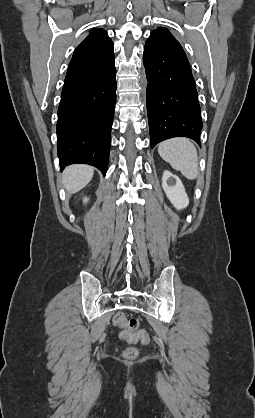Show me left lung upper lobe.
Wrapping results in <instances>:
<instances>
[{
	"instance_id": "1",
	"label": "left lung upper lobe",
	"mask_w": 255,
	"mask_h": 418,
	"mask_svg": "<svg viewBox=\"0 0 255 418\" xmlns=\"http://www.w3.org/2000/svg\"><path fill=\"white\" fill-rule=\"evenodd\" d=\"M148 40L165 44L178 43L175 37L166 28H158L157 30H153Z\"/></svg>"
}]
</instances>
